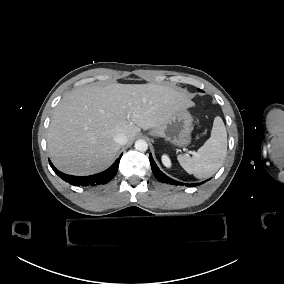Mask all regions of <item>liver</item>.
<instances>
[{
	"mask_svg": "<svg viewBox=\"0 0 284 284\" xmlns=\"http://www.w3.org/2000/svg\"><path fill=\"white\" fill-rule=\"evenodd\" d=\"M185 91L167 85H87L66 94L56 106L48 130L53 164L71 175H91L108 168L123 133L133 141L141 129L165 123L182 108L194 106Z\"/></svg>",
	"mask_w": 284,
	"mask_h": 284,
	"instance_id": "1",
	"label": "liver"
}]
</instances>
